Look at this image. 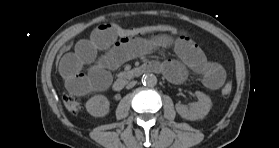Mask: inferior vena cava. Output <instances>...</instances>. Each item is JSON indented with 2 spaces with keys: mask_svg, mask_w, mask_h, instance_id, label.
Wrapping results in <instances>:
<instances>
[{
  "mask_svg": "<svg viewBox=\"0 0 279 148\" xmlns=\"http://www.w3.org/2000/svg\"><path fill=\"white\" fill-rule=\"evenodd\" d=\"M135 84H136V81H131L130 83L127 84L126 88L130 89V88L134 87Z\"/></svg>",
  "mask_w": 279,
  "mask_h": 148,
  "instance_id": "602c4592",
  "label": "inferior vena cava"
}]
</instances>
